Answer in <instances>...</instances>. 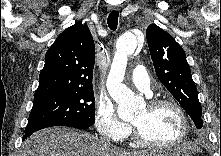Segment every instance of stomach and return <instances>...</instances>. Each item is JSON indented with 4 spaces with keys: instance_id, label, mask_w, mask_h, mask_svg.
I'll return each instance as SVG.
<instances>
[{
    "instance_id": "obj_1",
    "label": "stomach",
    "mask_w": 221,
    "mask_h": 156,
    "mask_svg": "<svg viewBox=\"0 0 221 156\" xmlns=\"http://www.w3.org/2000/svg\"><path fill=\"white\" fill-rule=\"evenodd\" d=\"M157 156H191V155L188 151L184 150V146H181L163 151Z\"/></svg>"
}]
</instances>
